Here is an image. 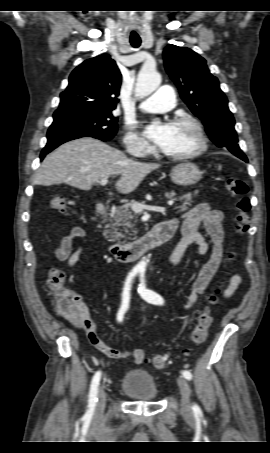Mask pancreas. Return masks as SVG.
Listing matches in <instances>:
<instances>
[{"label": "pancreas", "mask_w": 270, "mask_h": 453, "mask_svg": "<svg viewBox=\"0 0 270 453\" xmlns=\"http://www.w3.org/2000/svg\"><path fill=\"white\" fill-rule=\"evenodd\" d=\"M175 195L176 194L174 192H171L166 193L165 197L168 199L181 201L182 204L176 207L179 208L180 211H186L188 209V206L192 205V193L183 194L178 198H175ZM133 203L134 201L123 204L122 206L116 207L114 209L113 220L111 221V224L106 226V229L104 231V236L108 241L115 242L120 238H126L125 234L131 235L130 232L137 233L136 230H132L135 224V220L133 213L130 211V208L132 207Z\"/></svg>", "instance_id": "1"}]
</instances>
